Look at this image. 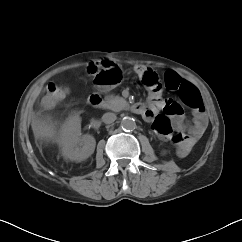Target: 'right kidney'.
<instances>
[{
	"label": "right kidney",
	"mask_w": 242,
	"mask_h": 242,
	"mask_svg": "<svg viewBox=\"0 0 242 242\" xmlns=\"http://www.w3.org/2000/svg\"><path fill=\"white\" fill-rule=\"evenodd\" d=\"M59 143L64 158L77 162L90 157L96 145L93 136L81 135V118L76 114L68 117L63 124Z\"/></svg>",
	"instance_id": "ca27d5eb"
}]
</instances>
